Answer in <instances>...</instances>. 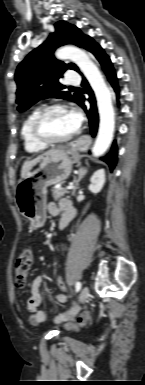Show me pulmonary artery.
Returning a JSON list of instances; mask_svg holds the SVG:
<instances>
[{
	"instance_id": "obj_1",
	"label": "pulmonary artery",
	"mask_w": 145,
	"mask_h": 385,
	"mask_svg": "<svg viewBox=\"0 0 145 385\" xmlns=\"http://www.w3.org/2000/svg\"><path fill=\"white\" fill-rule=\"evenodd\" d=\"M66 82L70 85H73V84H77L80 82V78L77 74H75L74 72H70L68 73L67 75V80Z\"/></svg>"
}]
</instances>
